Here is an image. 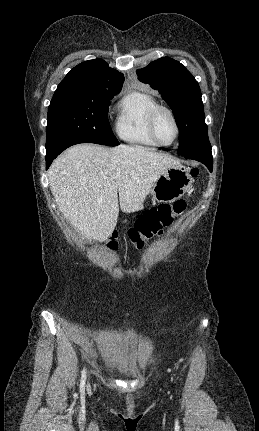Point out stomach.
<instances>
[{
    "mask_svg": "<svg viewBox=\"0 0 259 431\" xmlns=\"http://www.w3.org/2000/svg\"><path fill=\"white\" fill-rule=\"evenodd\" d=\"M192 182L193 178L185 167L171 166L154 183L150 194L158 202L170 203L182 197Z\"/></svg>",
    "mask_w": 259,
    "mask_h": 431,
    "instance_id": "1",
    "label": "stomach"
}]
</instances>
